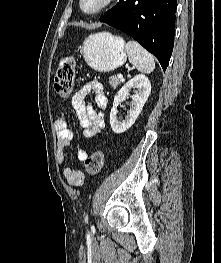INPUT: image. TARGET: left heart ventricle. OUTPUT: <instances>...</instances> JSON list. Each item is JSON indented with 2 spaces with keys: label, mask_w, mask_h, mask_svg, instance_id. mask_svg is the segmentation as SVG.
Returning a JSON list of instances; mask_svg holds the SVG:
<instances>
[{
  "label": "left heart ventricle",
  "mask_w": 221,
  "mask_h": 263,
  "mask_svg": "<svg viewBox=\"0 0 221 263\" xmlns=\"http://www.w3.org/2000/svg\"><path fill=\"white\" fill-rule=\"evenodd\" d=\"M103 0H84V7L87 10H93L97 8Z\"/></svg>",
  "instance_id": "1"
}]
</instances>
